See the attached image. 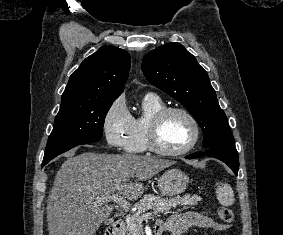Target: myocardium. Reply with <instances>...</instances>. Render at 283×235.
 I'll return each mask as SVG.
<instances>
[{
    "mask_svg": "<svg viewBox=\"0 0 283 235\" xmlns=\"http://www.w3.org/2000/svg\"><path fill=\"white\" fill-rule=\"evenodd\" d=\"M171 113H180L184 115L192 126V138L183 148L175 151L165 150L160 147L157 141V134L162 121ZM200 139V126L195 116L187 109L178 106L165 107L158 111L149 121L146 131V143L148 150L166 157L182 156L193 150Z\"/></svg>",
    "mask_w": 283,
    "mask_h": 235,
    "instance_id": "obj_1",
    "label": "myocardium"
}]
</instances>
